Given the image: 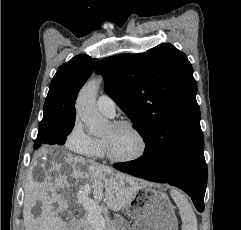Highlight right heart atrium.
Masks as SVG:
<instances>
[{
  "instance_id": "d8ad5b80",
  "label": "right heart atrium",
  "mask_w": 241,
  "mask_h": 230,
  "mask_svg": "<svg viewBox=\"0 0 241 230\" xmlns=\"http://www.w3.org/2000/svg\"><path fill=\"white\" fill-rule=\"evenodd\" d=\"M65 145L72 152L85 156H93L97 147L96 140L85 131L79 121L69 131Z\"/></svg>"
}]
</instances>
